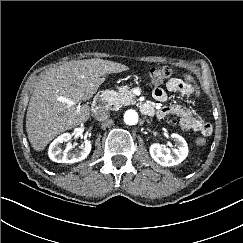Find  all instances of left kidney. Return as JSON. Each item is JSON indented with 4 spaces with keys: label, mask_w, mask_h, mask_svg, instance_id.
<instances>
[{
    "label": "left kidney",
    "mask_w": 243,
    "mask_h": 243,
    "mask_svg": "<svg viewBox=\"0 0 243 243\" xmlns=\"http://www.w3.org/2000/svg\"><path fill=\"white\" fill-rule=\"evenodd\" d=\"M171 138L176 142L177 148H164L158 143L152 144L149 148L152 159L166 167L178 165L188 155V145L185 139L176 133L171 134Z\"/></svg>",
    "instance_id": "5707ae66"
}]
</instances>
